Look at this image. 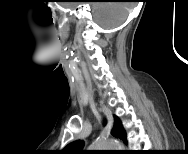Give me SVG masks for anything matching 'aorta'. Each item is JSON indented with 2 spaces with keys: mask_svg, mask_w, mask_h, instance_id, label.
<instances>
[{
  "mask_svg": "<svg viewBox=\"0 0 188 154\" xmlns=\"http://www.w3.org/2000/svg\"><path fill=\"white\" fill-rule=\"evenodd\" d=\"M90 148L92 150H122L123 145L114 139H96Z\"/></svg>",
  "mask_w": 188,
  "mask_h": 154,
  "instance_id": "aorta-1",
  "label": "aorta"
}]
</instances>
